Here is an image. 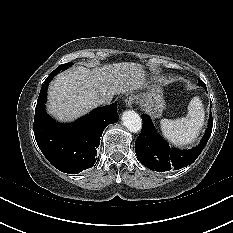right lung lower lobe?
<instances>
[{
    "label": "right lung lower lobe",
    "instance_id": "right-lung-lower-lobe-1",
    "mask_svg": "<svg viewBox=\"0 0 233 233\" xmlns=\"http://www.w3.org/2000/svg\"><path fill=\"white\" fill-rule=\"evenodd\" d=\"M53 71L44 82L35 108L34 135L46 159L58 170L76 174L91 168L107 125L119 120L117 102L98 107L71 124H59L45 112L44 103Z\"/></svg>",
    "mask_w": 233,
    "mask_h": 233
}]
</instances>
